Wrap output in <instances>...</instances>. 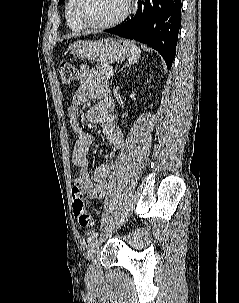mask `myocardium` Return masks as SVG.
Listing matches in <instances>:
<instances>
[{
  "label": "myocardium",
  "instance_id": "1",
  "mask_svg": "<svg viewBox=\"0 0 239 303\" xmlns=\"http://www.w3.org/2000/svg\"><path fill=\"white\" fill-rule=\"evenodd\" d=\"M86 0H77L75 6V14L79 22L86 28L95 29V30H103L108 29L122 23L132 12L133 10V0L126 1V8L116 19L106 22V23H94L87 19L84 13Z\"/></svg>",
  "mask_w": 239,
  "mask_h": 303
}]
</instances>
